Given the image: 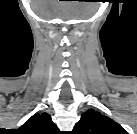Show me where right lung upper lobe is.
I'll use <instances>...</instances> for the list:
<instances>
[{
	"label": "right lung upper lobe",
	"instance_id": "1",
	"mask_svg": "<svg viewBox=\"0 0 137 134\" xmlns=\"http://www.w3.org/2000/svg\"><path fill=\"white\" fill-rule=\"evenodd\" d=\"M20 134H58L59 129L47 113H38L28 119L19 129Z\"/></svg>",
	"mask_w": 137,
	"mask_h": 134
}]
</instances>
